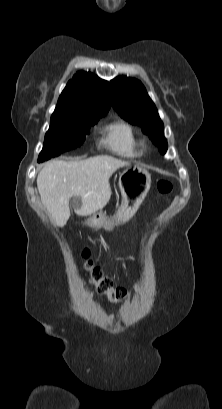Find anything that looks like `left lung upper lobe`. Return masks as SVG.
I'll return each instance as SVG.
<instances>
[{"instance_id": "obj_1", "label": "left lung upper lobe", "mask_w": 222, "mask_h": 409, "mask_svg": "<svg viewBox=\"0 0 222 409\" xmlns=\"http://www.w3.org/2000/svg\"><path fill=\"white\" fill-rule=\"evenodd\" d=\"M110 84L115 110L128 122L141 126L159 151L165 154L167 140L163 135V123L142 83L137 79L120 76Z\"/></svg>"}]
</instances>
